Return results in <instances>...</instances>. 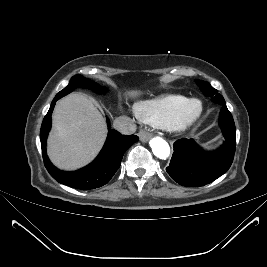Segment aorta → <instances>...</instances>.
Returning <instances> with one entry per match:
<instances>
[{
  "label": "aorta",
  "instance_id": "1",
  "mask_svg": "<svg viewBox=\"0 0 267 267\" xmlns=\"http://www.w3.org/2000/svg\"><path fill=\"white\" fill-rule=\"evenodd\" d=\"M150 146L154 155L162 160H165L170 155L169 144L161 137H154L150 140Z\"/></svg>",
  "mask_w": 267,
  "mask_h": 267
}]
</instances>
